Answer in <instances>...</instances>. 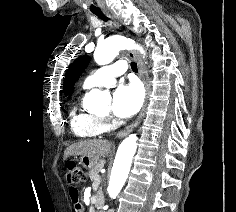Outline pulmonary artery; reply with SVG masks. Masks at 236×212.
<instances>
[{"instance_id":"pulmonary-artery-1","label":"pulmonary artery","mask_w":236,"mask_h":212,"mask_svg":"<svg viewBox=\"0 0 236 212\" xmlns=\"http://www.w3.org/2000/svg\"><path fill=\"white\" fill-rule=\"evenodd\" d=\"M126 69L127 65L122 61L101 67L86 77L83 87L87 89L96 86L111 87L115 84L116 78L124 73Z\"/></svg>"}]
</instances>
